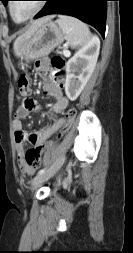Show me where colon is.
I'll return each instance as SVG.
<instances>
[{"mask_svg":"<svg viewBox=\"0 0 133 253\" xmlns=\"http://www.w3.org/2000/svg\"><path fill=\"white\" fill-rule=\"evenodd\" d=\"M51 66L52 68L60 72L65 66V60L58 55H55L51 58ZM18 88H19V99L23 102V97H29L31 92V86L29 82V78L26 74H22L18 80ZM23 104V103H22ZM66 122L62 127L63 130L68 129L70 125H75L77 122L76 117V109L71 107L66 112ZM44 151V146L38 148H31L26 153V161L28 165L37 169L41 166L42 153Z\"/></svg>","mask_w":133,"mask_h":253,"instance_id":"obj_1","label":"colon"}]
</instances>
